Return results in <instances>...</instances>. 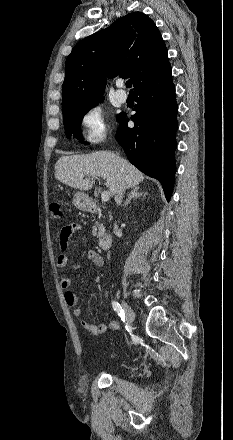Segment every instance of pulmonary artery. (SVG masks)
I'll return each mask as SVG.
<instances>
[{
    "mask_svg": "<svg viewBox=\"0 0 233 440\" xmlns=\"http://www.w3.org/2000/svg\"><path fill=\"white\" fill-rule=\"evenodd\" d=\"M118 86H120V84H118ZM115 96H116L117 100H118L120 103H124V102H126V100H127V94H126L124 91L120 90V89H118V90L115 92Z\"/></svg>",
    "mask_w": 233,
    "mask_h": 440,
    "instance_id": "obj_1",
    "label": "pulmonary artery"
}]
</instances>
